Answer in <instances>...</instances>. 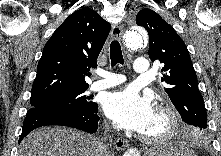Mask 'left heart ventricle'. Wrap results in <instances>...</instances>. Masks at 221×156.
Listing matches in <instances>:
<instances>
[{
    "mask_svg": "<svg viewBox=\"0 0 221 156\" xmlns=\"http://www.w3.org/2000/svg\"><path fill=\"white\" fill-rule=\"evenodd\" d=\"M166 127V120L162 114L155 111L154 118L149 125V127L145 130L144 134L153 135L162 132Z\"/></svg>",
    "mask_w": 221,
    "mask_h": 156,
    "instance_id": "b2bd125f",
    "label": "left heart ventricle"
}]
</instances>
